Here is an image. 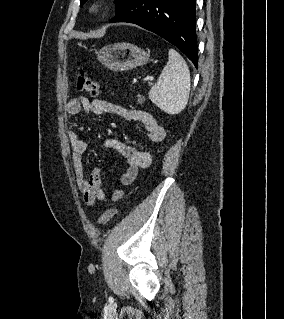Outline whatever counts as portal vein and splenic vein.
I'll use <instances>...</instances> for the list:
<instances>
[{"mask_svg":"<svg viewBox=\"0 0 284 319\" xmlns=\"http://www.w3.org/2000/svg\"><path fill=\"white\" fill-rule=\"evenodd\" d=\"M149 80L152 81V80H153V77H149Z\"/></svg>","mask_w":284,"mask_h":319,"instance_id":"1","label":"portal vein and splenic vein"}]
</instances>
